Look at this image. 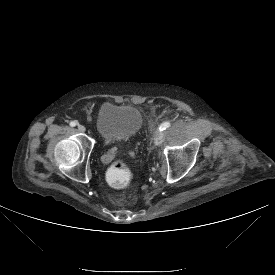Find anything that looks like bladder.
Instances as JSON below:
<instances>
[{
	"label": "bladder",
	"mask_w": 275,
	"mask_h": 275,
	"mask_svg": "<svg viewBox=\"0 0 275 275\" xmlns=\"http://www.w3.org/2000/svg\"><path fill=\"white\" fill-rule=\"evenodd\" d=\"M141 110L132 104L104 103L97 115V128L107 142L128 141L134 138L143 126Z\"/></svg>",
	"instance_id": "obj_1"
}]
</instances>
